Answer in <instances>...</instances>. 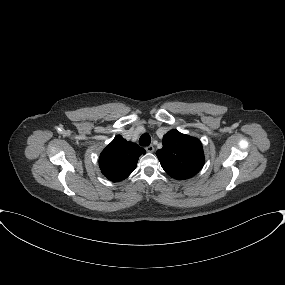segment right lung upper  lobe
Returning a JSON list of instances; mask_svg holds the SVG:
<instances>
[{
    "label": "right lung upper lobe",
    "mask_w": 285,
    "mask_h": 285,
    "mask_svg": "<svg viewBox=\"0 0 285 285\" xmlns=\"http://www.w3.org/2000/svg\"><path fill=\"white\" fill-rule=\"evenodd\" d=\"M145 153L137 144L117 135L100 154L101 172L110 181L124 180L135 170L140 155Z\"/></svg>",
    "instance_id": "cb5924a9"
}]
</instances>
